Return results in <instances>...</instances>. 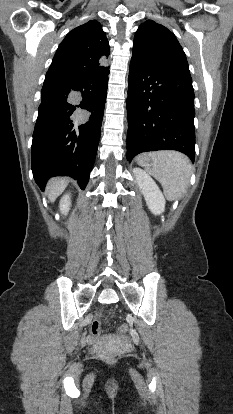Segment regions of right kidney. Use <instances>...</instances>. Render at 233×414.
Returning a JSON list of instances; mask_svg holds the SVG:
<instances>
[{
  "mask_svg": "<svg viewBox=\"0 0 233 414\" xmlns=\"http://www.w3.org/2000/svg\"><path fill=\"white\" fill-rule=\"evenodd\" d=\"M71 206L70 194H66L61 198L60 210L64 215H67Z\"/></svg>",
  "mask_w": 233,
  "mask_h": 414,
  "instance_id": "obj_1",
  "label": "right kidney"
}]
</instances>
